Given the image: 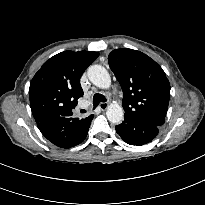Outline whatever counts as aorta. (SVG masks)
Returning a JSON list of instances; mask_svg holds the SVG:
<instances>
[{"instance_id":"aorta-1","label":"aorta","mask_w":205,"mask_h":205,"mask_svg":"<svg viewBox=\"0 0 205 205\" xmlns=\"http://www.w3.org/2000/svg\"><path fill=\"white\" fill-rule=\"evenodd\" d=\"M87 75L89 80L97 87L107 89L111 85L108 71L101 65H91ZM106 116L112 123H120L124 118L123 108L117 103H111L106 110Z\"/></svg>"}]
</instances>
